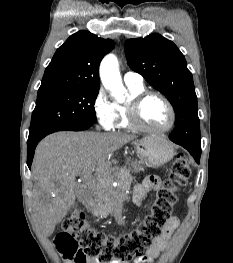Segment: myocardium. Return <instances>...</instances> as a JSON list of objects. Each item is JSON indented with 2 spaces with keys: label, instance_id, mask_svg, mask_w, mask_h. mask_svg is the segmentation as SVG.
Instances as JSON below:
<instances>
[{
  "label": "myocardium",
  "instance_id": "1",
  "mask_svg": "<svg viewBox=\"0 0 233 263\" xmlns=\"http://www.w3.org/2000/svg\"><path fill=\"white\" fill-rule=\"evenodd\" d=\"M156 96L160 98L164 104L166 105L169 114L170 120L168 124L162 128H152L144 124L140 116V110L144 101L151 97ZM127 116L130 126L133 129L143 131V132H151V133H164L169 131L175 124L176 121V112L175 109L170 102V100L161 92L152 91V90H144L137 95H135L127 106Z\"/></svg>",
  "mask_w": 233,
  "mask_h": 263
}]
</instances>
